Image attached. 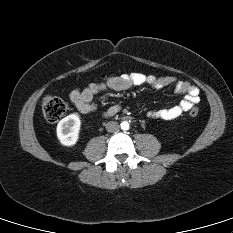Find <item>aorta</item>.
Returning a JSON list of instances; mask_svg holds the SVG:
<instances>
[{
    "mask_svg": "<svg viewBox=\"0 0 233 233\" xmlns=\"http://www.w3.org/2000/svg\"><path fill=\"white\" fill-rule=\"evenodd\" d=\"M120 126H121V129L122 130H129V123L127 122V121H123L121 124H120Z\"/></svg>",
    "mask_w": 233,
    "mask_h": 233,
    "instance_id": "762f6f07",
    "label": "aorta"
}]
</instances>
